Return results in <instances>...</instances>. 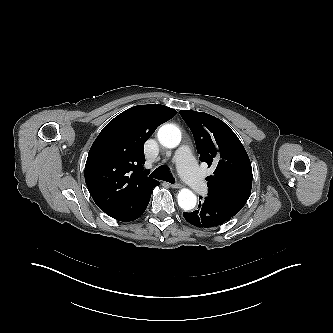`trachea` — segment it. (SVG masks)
Here are the masks:
<instances>
[{"mask_svg":"<svg viewBox=\"0 0 333 333\" xmlns=\"http://www.w3.org/2000/svg\"><path fill=\"white\" fill-rule=\"evenodd\" d=\"M150 177L158 179V180H163V181H167L169 183L174 184L175 183V179L172 176V174L170 173L169 169L167 166L165 165H161L158 168H156L151 174Z\"/></svg>","mask_w":333,"mask_h":333,"instance_id":"3493384b","label":"trachea"}]
</instances>
